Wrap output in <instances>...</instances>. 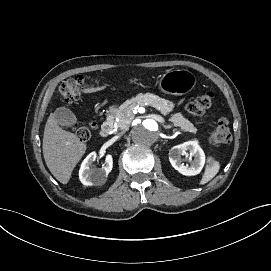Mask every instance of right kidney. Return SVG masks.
Returning <instances> with one entry per match:
<instances>
[{
  "instance_id": "right-kidney-1",
  "label": "right kidney",
  "mask_w": 271,
  "mask_h": 271,
  "mask_svg": "<svg viewBox=\"0 0 271 271\" xmlns=\"http://www.w3.org/2000/svg\"><path fill=\"white\" fill-rule=\"evenodd\" d=\"M96 159V152H91L82 162L79 170V179L86 186H101L105 184L107 176L112 170L113 160L111 155L106 156V164L102 168L91 169L90 166Z\"/></svg>"
}]
</instances>
